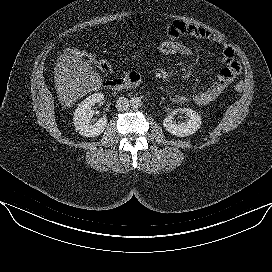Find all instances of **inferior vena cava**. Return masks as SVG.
<instances>
[{
    "instance_id": "obj_1",
    "label": "inferior vena cava",
    "mask_w": 272,
    "mask_h": 272,
    "mask_svg": "<svg viewBox=\"0 0 272 272\" xmlns=\"http://www.w3.org/2000/svg\"><path fill=\"white\" fill-rule=\"evenodd\" d=\"M129 107V100L125 97H119L116 100V108L118 111H125Z\"/></svg>"
}]
</instances>
